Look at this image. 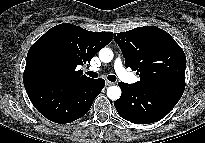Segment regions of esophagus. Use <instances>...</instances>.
Segmentation results:
<instances>
[{
	"label": "esophagus",
	"mask_w": 205,
	"mask_h": 143,
	"mask_svg": "<svg viewBox=\"0 0 205 143\" xmlns=\"http://www.w3.org/2000/svg\"><path fill=\"white\" fill-rule=\"evenodd\" d=\"M105 84H106V86H111L113 83L107 80V81L105 82Z\"/></svg>",
	"instance_id": "1"
}]
</instances>
